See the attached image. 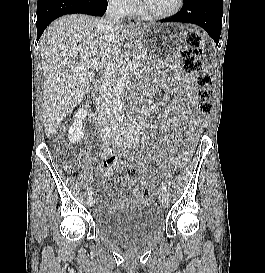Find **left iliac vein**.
<instances>
[{"mask_svg":"<svg viewBox=\"0 0 265 273\" xmlns=\"http://www.w3.org/2000/svg\"><path fill=\"white\" fill-rule=\"evenodd\" d=\"M114 143L119 146H128L136 148L138 146V139L129 131L122 129L121 132L116 136ZM170 203L169 196L166 192L162 195V205L168 207Z\"/></svg>","mask_w":265,"mask_h":273,"instance_id":"1","label":"left iliac vein"}]
</instances>
